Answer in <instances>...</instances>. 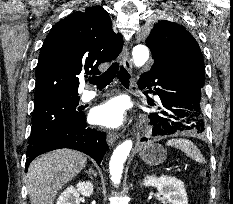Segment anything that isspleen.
<instances>
[{"label": "spleen", "instance_id": "obj_1", "mask_svg": "<svg viewBox=\"0 0 233 204\" xmlns=\"http://www.w3.org/2000/svg\"><path fill=\"white\" fill-rule=\"evenodd\" d=\"M167 146L175 147L177 149H180L182 152H184L188 157L191 159L199 162L204 163L205 159L203 158V155L199 151L196 145L193 144L188 139H171L166 142Z\"/></svg>", "mask_w": 233, "mask_h": 204}]
</instances>
